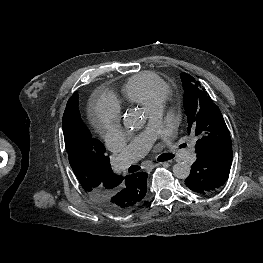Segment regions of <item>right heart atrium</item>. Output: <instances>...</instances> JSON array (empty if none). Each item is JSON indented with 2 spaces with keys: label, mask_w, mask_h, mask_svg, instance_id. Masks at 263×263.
<instances>
[{
  "label": "right heart atrium",
  "mask_w": 263,
  "mask_h": 263,
  "mask_svg": "<svg viewBox=\"0 0 263 263\" xmlns=\"http://www.w3.org/2000/svg\"><path fill=\"white\" fill-rule=\"evenodd\" d=\"M120 107L109 94L97 97L93 109V120L105 139H110L119 130Z\"/></svg>",
  "instance_id": "right-heart-atrium-1"
}]
</instances>
